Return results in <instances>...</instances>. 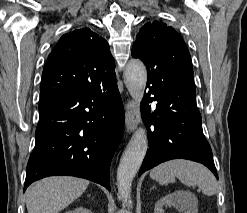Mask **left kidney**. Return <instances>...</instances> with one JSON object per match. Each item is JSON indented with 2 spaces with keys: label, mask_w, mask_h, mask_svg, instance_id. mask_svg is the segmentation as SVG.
Wrapping results in <instances>:
<instances>
[{
  "label": "left kidney",
  "mask_w": 247,
  "mask_h": 213,
  "mask_svg": "<svg viewBox=\"0 0 247 213\" xmlns=\"http://www.w3.org/2000/svg\"><path fill=\"white\" fill-rule=\"evenodd\" d=\"M164 206H173L182 213H198L197 200L191 192L178 191L168 194L155 204L154 213H164Z\"/></svg>",
  "instance_id": "5707ae66"
}]
</instances>
